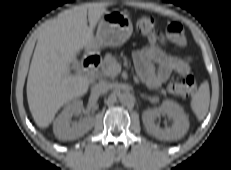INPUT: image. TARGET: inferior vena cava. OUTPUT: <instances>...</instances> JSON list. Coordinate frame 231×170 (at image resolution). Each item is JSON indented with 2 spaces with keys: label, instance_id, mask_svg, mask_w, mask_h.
<instances>
[{
  "label": "inferior vena cava",
  "instance_id": "1",
  "mask_svg": "<svg viewBox=\"0 0 231 170\" xmlns=\"http://www.w3.org/2000/svg\"><path fill=\"white\" fill-rule=\"evenodd\" d=\"M111 89V85L106 82H100L93 87V93L95 95H103Z\"/></svg>",
  "mask_w": 231,
  "mask_h": 170
}]
</instances>
